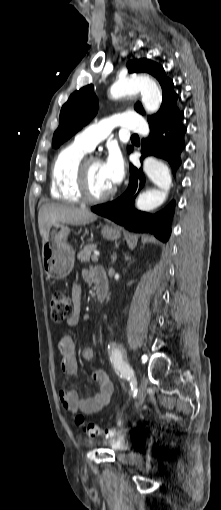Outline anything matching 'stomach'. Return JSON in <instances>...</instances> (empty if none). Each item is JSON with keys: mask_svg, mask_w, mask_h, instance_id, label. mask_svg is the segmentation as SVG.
I'll return each instance as SVG.
<instances>
[{"mask_svg": "<svg viewBox=\"0 0 221 510\" xmlns=\"http://www.w3.org/2000/svg\"><path fill=\"white\" fill-rule=\"evenodd\" d=\"M70 229L64 223L52 224L42 240V259L48 277L61 280L67 277L74 267L75 251L67 243ZM102 235L108 240H117L121 233L115 225H105Z\"/></svg>", "mask_w": 221, "mask_h": 510, "instance_id": "stomach-1", "label": "stomach"}]
</instances>
